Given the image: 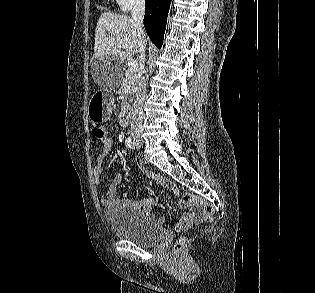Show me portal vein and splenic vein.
<instances>
[{
	"label": "portal vein and splenic vein",
	"mask_w": 315,
	"mask_h": 293,
	"mask_svg": "<svg viewBox=\"0 0 315 293\" xmlns=\"http://www.w3.org/2000/svg\"><path fill=\"white\" fill-rule=\"evenodd\" d=\"M138 70V63L136 61H132L129 64L128 73H134Z\"/></svg>",
	"instance_id": "portal-vein-and-splenic-vein-1"
}]
</instances>
